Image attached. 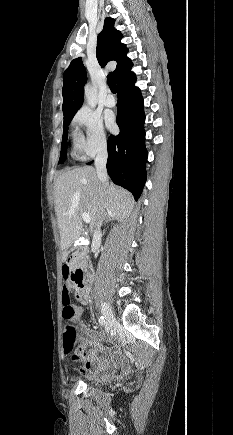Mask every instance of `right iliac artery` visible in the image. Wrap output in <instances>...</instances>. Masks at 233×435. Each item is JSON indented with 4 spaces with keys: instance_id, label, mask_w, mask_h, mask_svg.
Listing matches in <instances>:
<instances>
[{
    "instance_id": "right-iliac-artery-1",
    "label": "right iliac artery",
    "mask_w": 233,
    "mask_h": 435,
    "mask_svg": "<svg viewBox=\"0 0 233 435\" xmlns=\"http://www.w3.org/2000/svg\"><path fill=\"white\" fill-rule=\"evenodd\" d=\"M99 323H100L101 325H104V324H105V319H104L103 316H100V317H99Z\"/></svg>"
}]
</instances>
